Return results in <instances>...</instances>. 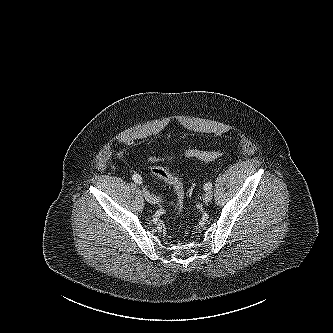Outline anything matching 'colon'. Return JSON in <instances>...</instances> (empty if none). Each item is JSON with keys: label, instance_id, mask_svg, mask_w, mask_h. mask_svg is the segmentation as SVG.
<instances>
[{"label": "colon", "instance_id": "1", "mask_svg": "<svg viewBox=\"0 0 333 333\" xmlns=\"http://www.w3.org/2000/svg\"><path fill=\"white\" fill-rule=\"evenodd\" d=\"M185 156L189 158H196L202 161H212L221 158L224 155L223 151H199V150H187ZM151 172L157 178L170 184L176 194V210L178 213L182 212L184 203V188L181 181L174 176L171 172L163 167H153Z\"/></svg>", "mask_w": 333, "mask_h": 333}]
</instances>
